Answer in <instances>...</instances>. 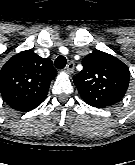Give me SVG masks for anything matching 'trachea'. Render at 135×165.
Segmentation results:
<instances>
[{"instance_id":"trachea-1","label":"trachea","mask_w":135,"mask_h":165,"mask_svg":"<svg viewBox=\"0 0 135 165\" xmlns=\"http://www.w3.org/2000/svg\"><path fill=\"white\" fill-rule=\"evenodd\" d=\"M67 60L64 56L60 55L55 60V67L58 69H63L66 66Z\"/></svg>"}]
</instances>
